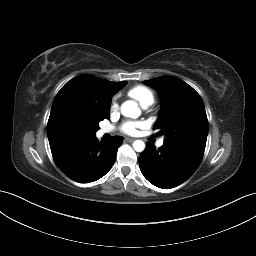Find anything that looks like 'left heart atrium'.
Wrapping results in <instances>:
<instances>
[{"instance_id": "1", "label": "left heart atrium", "mask_w": 256, "mask_h": 256, "mask_svg": "<svg viewBox=\"0 0 256 256\" xmlns=\"http://www.w3.org/2000/svg\"><path fill=\"white\" fill-rule=\"evenodd\" d=\"M142 127L144 124L140 121H126L121 125L120 130L127 135H135Z\"/></svg>"}]
</instances>
